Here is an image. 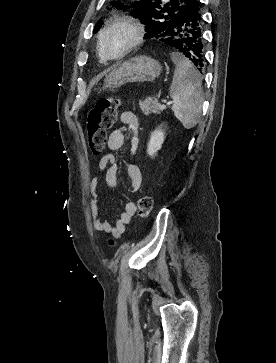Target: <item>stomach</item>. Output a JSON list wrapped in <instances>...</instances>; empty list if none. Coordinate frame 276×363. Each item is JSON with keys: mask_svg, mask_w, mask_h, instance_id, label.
<instances>
[{"mask_svg": "<svg viewBox=\"0 0 276 363\" xmlns=\"http://www.w3.org/2000/svg\"><path fill=\"white\" fill-rule=\"evenodd\" d=\"M161 73L162 66L158 61L146 56H137L115 66L106 76L104 86L112 91L130 82H152Z\"/></svg>", "mask_w": 276, "mask_h": 363, "instance_id": "1", "label": "stomach"}]
</instances>
